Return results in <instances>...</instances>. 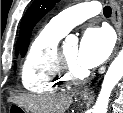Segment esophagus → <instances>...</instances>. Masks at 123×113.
Here are the masks:
<instances>
[{"label":"esophagus","instance_id":"34e87169","mask_svg":"<svg viewBox=\"0 0 123 113\" xmlns=\"http://www.w3.org/2000/svg\"><path fill=\"white\" fill-rule=\"evenodd\" d=\"M110 3L112 6V22H113V25L116 29L117 36H118V39H117V47H118L121 43V36H122L121 9H120V6L117 1L111 0ZM115 53H116V51H115ZM82 95L83 96H93L94 93L92 90L88 89V90L82 91Z\"/></svg>","mask_w":123,"mask_h":113}]
</instances>
